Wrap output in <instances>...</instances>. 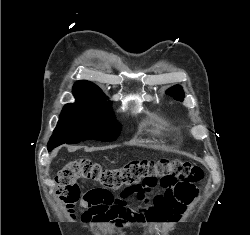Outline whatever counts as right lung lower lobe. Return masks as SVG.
Segmentation results:
<instances>
[{"label":"right lung lower lobe","instance_id":"98d812e1","mask_svg":"<svg viewBox=\"0 0 250 235\" xmlns=\"http://www.w3.org/2000/svg\"><path fill=\"white\" fill-rule=\"evenodd\" d=\"M55 147H57V146L56 145H48V151H51Z\"/></svg>","mask_w":250,"mask_h":235}]
</instances>
